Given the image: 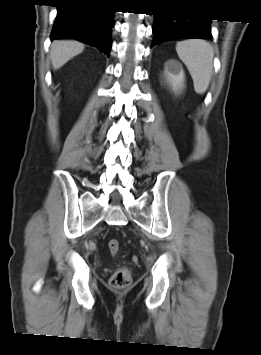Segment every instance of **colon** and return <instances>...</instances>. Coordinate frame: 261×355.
Wrapping results in <instances>:
<instances>
[{
    "label": "colon",
    "instance_id": "obj_1",
    "mask_svg": "<svg viewBox=\"0 0 261 355\" xmlns=\"http://www.w3.org/2000/svg\"><path fill=\"white\" fill-rule=\"evenodd\" d=\"M109 251L115 255L120 249V243L117 239H111L108 242ZM131 270L128 267H121L110 278V285L114 289H125L131 284Z\"/></svg>",
    "mask_w": 261,
    "mask_h": 355
}]
</instances>
